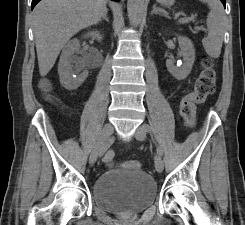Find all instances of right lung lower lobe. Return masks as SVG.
Wrapping results in <instances>:
<instances>
[{"label": "right lung lower lobe", "instance_id": "right-lung-lower-lobe-1", "mask_svg": "<svg viewBox=\"0 0 245 225\" xmlns=\"http://www.w3.org/2000/svg\"><path fill=\"white\" fill-rule=\"evenodd\" d=\"M39 1H40V0H32V4H31L32 9L34 8V6H35ZM115 1H119V0H115Z\"/></svg>", "mask_w": 245, "mask_h": 225}]
</instances>
